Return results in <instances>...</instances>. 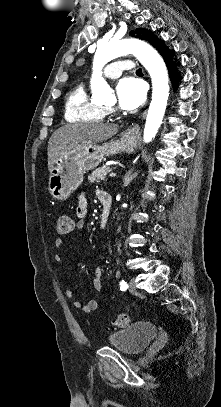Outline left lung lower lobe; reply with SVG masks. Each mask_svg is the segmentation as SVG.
<instances>
[{
    "label": "left lung lower lobe",
    "mask_w": 221,
    "mask_h": 407,
    "mask_svg": "<svg viewBox=\"0 0 221 407\" xmlns=\"http://www.w3.org/2000/svg\"><path fill=\"white\" fill-rule=\"evenodd\" d=\"M155 48L158 50V52L161 54L163 57L168 70H169V77L172 82H174V89L178 87V83L181 80V75L177 71V66L179 65V62L177 63L174 61V53L175 51L167 47L164 42L160 39L157 40L155 44Z\"/></svg>",
    "instance_id": "obj_1"
}]
</instances>
